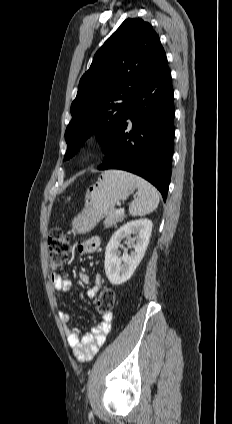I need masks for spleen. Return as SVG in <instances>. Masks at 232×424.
I'll return each mask as SVG.
<instances>
[{
  "label": "spleen",
  "instance_id": "spleen-1",
  "mask_svg": "<svg viewBox=\"0 0 232 424\" xmlns=\"http://www.w3.org/2000/svg\"><path fill=\"white\" fill-rule=\"evenodd\" d=\"M138 187L137 198L129 206L132 216H143L153 212L159 204L160 197L157 189L145 179L134 175Z\"/></svg>",
  "mask_w": 232,
  "mask_h": 424
}]
</instances>
